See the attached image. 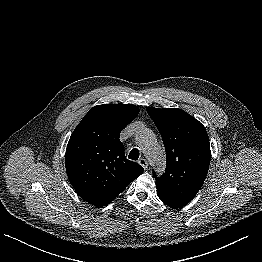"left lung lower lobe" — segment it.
<instances>
[{
	"label": "left lung lower lobe",
	"mask_w": 262,
	"mask_h": 262,
	"mask_svg": "<svg viewBox=\"0 0 262 262\" xmlns=\"http://www.w3.org/2000/svg\"><path fill=\"white\" fill-rule=\"evenodd\" d=\"M162 200V199H161ZM166 205L172 207L173 209H177V208H182L183 205L180 204H176V203H172V202H168V201H164L162 200Z\"/></svg>",
	"instance_id": "obj_1"
}]
</instances>
